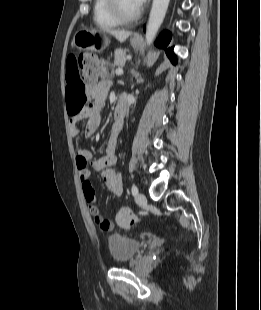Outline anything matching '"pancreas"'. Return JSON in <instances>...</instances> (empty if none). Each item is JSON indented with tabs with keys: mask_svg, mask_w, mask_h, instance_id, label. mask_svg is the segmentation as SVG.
Segmentation results:
<instances>
[{
	"mask_svg": "<svg viewBox=\"0 0 261 310\" xmlns=\"http://www.w3.org/2000/svg\"><path fill=\"white\" fill-rule=\"evenodd\" d=\"M114 65L115 66H123L126 62V53L124 50L117 49L114 53Z\"/></svg>",
	"mask_w": 261,
	"mask_h": 310,
	"instance_id": "pancreas-1",
	"label": "pancreas"
}]
</instances>
